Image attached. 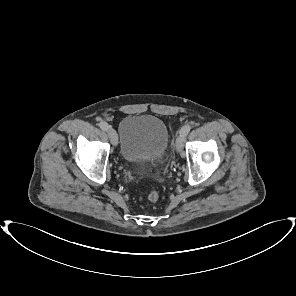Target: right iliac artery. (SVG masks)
Wrapping results in <instances>:
<instances>
[{"label": "right iliac artery", "instance_id": "1", "mask_svg": "<svg viewBox=\"0 0 296 296\" xmlns=\"http://www.w3.org/2000/svg\"><path fill=\"white\" fill-rule=\"evenodd\" d=\"M99 126H100V128H101L102 130H104V131H107V130L110 128V126H109L106 122H101V123L99 124Z\"/></svg>", "mask_w": 296, "mask_h": 296}]
</instances>
